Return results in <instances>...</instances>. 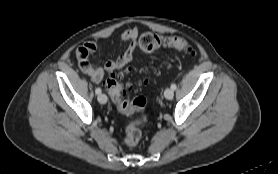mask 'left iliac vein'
<instances>
[{
  "instance_id": "obj_1",
  "label": "left iliac vein",
  "mask_w": 278,
  "mask_h": 174,
  "mask_svg": "<svg viewBox=\"0 0 278 174\" xmlns=\"http://www.w3.org/2000/svg\"><path fill=\"white\" fill-rule=\"evenodd\" d=\"M164 96L166 99L171 100L174 96V91L171 88H167L164 92Z\"/></svg>"
}]
</instances>
